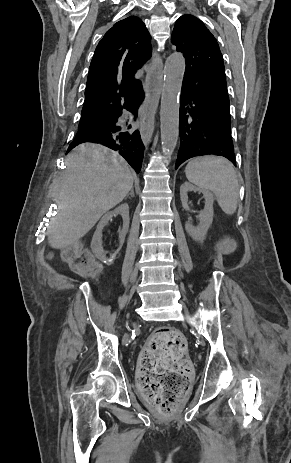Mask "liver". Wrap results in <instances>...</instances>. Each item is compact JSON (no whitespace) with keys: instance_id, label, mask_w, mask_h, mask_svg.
<instances>
[{"instance_id":"liver-1","label":"liver","mask_w":291,"mask_h":463,"mask_svg":"<svg viewBox=\"0 0 291 463\" xmlns=\"http://www.w3.org/2000/svg\"><path fill=\"white\" fill-rule=\"evenodd\" d=\"M65 164L64 174L54 185L58 215L48 228V243L55 249L78 242L133 186L128 163L102 145H79Z\"/></svg>"}]
</instances>
